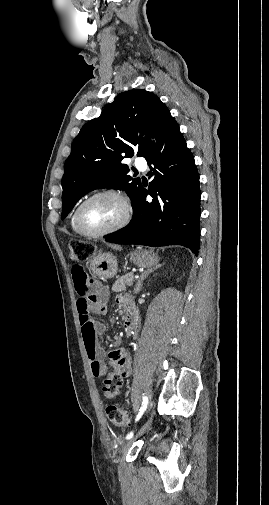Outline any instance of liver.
<instances>
[{"label": "liver", "mask_w": 269, "mask_h": 505, "mask_svg": "<svg viewBox=\"0 0 269 505\" xmlns=\"http://www.w3.org/2000/svg\"><path fill=\"white\" fill-rule=\"evenodd\" d=\"M113 248H114V249H120V248H119V247H117V246H114Z\"/></svg>", "instance_id": "6515ba94"}]
</instances>
